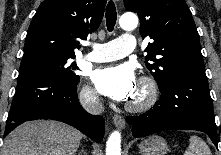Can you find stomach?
Segmentation results:
<instances>
[{
  "label": "stomach",
  "mask_w": 221,
  "mask_h": 155,
  "mask_svg": "<svg viewBox=\"0 0 221 155\" xmlns=\"http://www.w3.org/2000/svg\"><path fill=\"white\" fill-rule=\"evenodd\" d=\"M168 150L167 142L157 135L144 139L139 145L141 155H166Z\"/></svg>",
  "instance_id": "1"
}]
</instances>
